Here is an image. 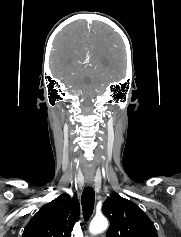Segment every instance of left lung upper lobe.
Masks as SVG:
<instances>
[{"mask_svg":"<svg viewBox=\"0 0 181 237\" xmlns=\"http://www.w3.org/2000/svg\"><path fill=\"white\" fill-rule=\"evenodd\" d=\"M110 219L107 237H158L150 218L133 202L113 192L103 204Z\"/></svg>","mask_w":181,"mask_h":237,"instance_id":"1","label":"left lung upper lobe"}]
</instances>
